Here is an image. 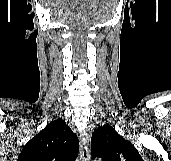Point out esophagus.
<instances>
[{
    "mask_svg": "<svg viewBox=\"0 0 171 161\" xmlns=\"http://www.w3.org/2000/svg\"><path fill=\"white\" fill-rule=\"evenodd\" d=\"M90 138L89 135L82 134L79 149V161H90Z\"/></svg>",
    "mask_w": 171,
    "mask_h": 161,
    "instance_id": "1",
    "label": "esophagus"
}]
</instances>
